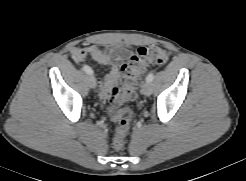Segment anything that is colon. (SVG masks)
<instances>
[{
	"label": "colon",
	"mask_w": 246,
	"mask_h": 181,
	"mask_svg": "<svg viewBox=\"0 0 246 181\" xmlns=\"http://www.w3.org/2000/svg\"><path fill=\"white\" fill-rule=\"evenodd\" d=\"M169 57V51L158 45L139 48L122 67V84L113 87L106 99L108 112L117 126L113 137V147L120 150L124 146L125 137L132 118L131 109L121 106L137 97L139 80L151 65H163Z\"/></svg>",
	"instance_id": "obj_1"
}]
</instances>
